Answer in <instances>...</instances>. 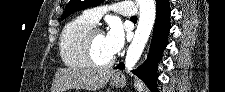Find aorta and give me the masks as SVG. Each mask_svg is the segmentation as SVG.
I'll return each mask as SVG.
<instances>
[{
	"label": "aorta",
	"instance_id": "762f6f07",
	"mask_svg": "<svg viewBox=\"0 0 225 92\" xmlns=\"http://www.w3.org/2000/svg\"><path fill=\"white\" fill-rule=\"evenodd\" d=\"M140 17L134 38L127 50L125 67L132 69L139 60L148 41L156 16L154 0H138Z\"/></svg>",
	"mask_w": 225,
	"mask_h": 92
}]
</instances>
